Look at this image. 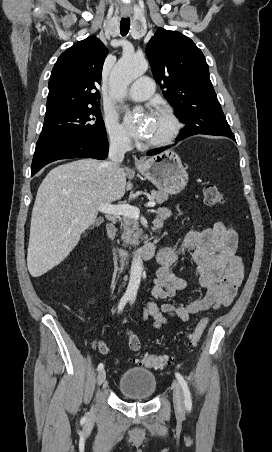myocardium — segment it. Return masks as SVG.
I'll return each instance as SVG.
<instances>
[{"mask_svg":"<svg viewBox=\"0 0 272 452\" xmlns=\"http://www.w3.org/2000/svg\"><path fill=\"white\" fill-rule=\"evenodd\" d=\"M157 113H161L167 118L170 123V129L163 138L154 141H146L145 145L151 148H159L171 144L177 138L181 130L180 120L172 109L163 107L160 108Z\"/></svg>","mask_w":272,"mask_h":452,"instance_id":"obj_1","label":"myocardium"}]
</instances>
